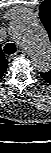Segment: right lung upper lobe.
I'll use <instances>...</instances> for the list:
<instances>
[{"label": "right lung upper lobe", "instance_id": "obj_1", "mask_svg": "<svg viewBox=\"0 0 51 153\" xmlns=\"http://www.w3.org/2000/svg\"><path fill=\"white\" fill-rule=\"evenodd\" d=\"M7 67H8V61L5 59L4 53L0 48V78L4 75Z\"/></svg>", "mask_w": 51, "mask_h": 153}]
</instances>
